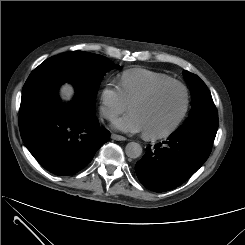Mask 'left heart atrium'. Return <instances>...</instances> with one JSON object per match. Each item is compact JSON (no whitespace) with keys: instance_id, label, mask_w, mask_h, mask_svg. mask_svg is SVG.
I'll return each instance as SVG.
<instances>
[{"instance_id":"1","label":"left heart atrium","mask_w":245,"mask_h":245,"mask_svg":"<svg viewBox=\"0 0 245 245\" xmlns=\"http://www.w3.org/2000/svg\"><path fill=\"white\" fill-rule=\"evenodd\" d=\"M113 127L123 132H143V125L138 116L132 112L113 122Z\"/></svg>"}]
</instances>
